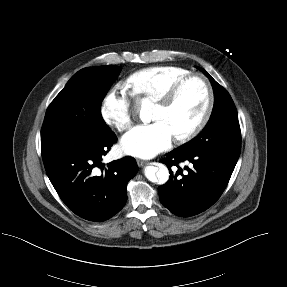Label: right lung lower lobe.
<instances>
[{"mask_svg": "<svg viewBox=\"0 0 287 287\" xmlns=\"http://www.w3.org/2000/svg\"><path fill=\"white\" fill-rule=\"evenodd\" d=\"M117 141L114 132L102 139L42 152L46 173L63 202L78 216L105 221L119 212L127 200V183L138 171L127 156L104 167L102 156ZM100 168V171L96 169Z\"/></svg>", "mask_w": 287, "mask_h": 287, "instance_id": "1", "label": "right lung lower lobe"}]
</instances>
